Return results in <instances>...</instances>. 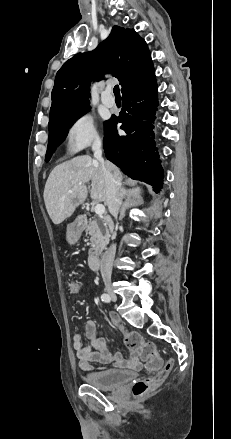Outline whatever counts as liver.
Returning a JSON list of instances; mask_svg holds the SVG:
<instances>
[{
    "label": "liver",
    "mask_w": 231,
    "mask_h": 439,
    "mask_svg": "<svg viewBox=\"0 0 231 439\" xmlns=\"http://www.w3.org/2000/svg\"><path fill=\"white\" fill-rule=\"evenodd\" d=\"M112 165V164H111ZM112 173L118 181L120 200L131 194L141 198L139 187L127 191L122 187V175L119 169L112 165ZM91 181L90 196L94 202H104L108 206V197L103 169L98 160L89 155L72 158L57 165L50 173L44 188V202L55 225L70 217L75 209L85 201L88 195L87 183ZM72 190V193H68Z\"/></svg>",
    "instance_id": "obj_1"
}]
</instances>
